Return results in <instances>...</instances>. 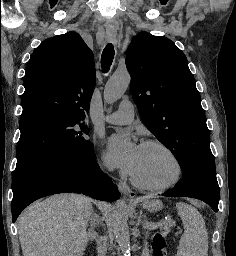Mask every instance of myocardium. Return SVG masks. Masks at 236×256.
<instances>
[{"label": "myocardium", "mask_w": 236, "mask_h": 256, "mask_svg": "<svg viewBox=\"0 0 236 256\" xmlns=\"http://www.w3.org/2000/svg\"><path fill=\"white\" fill-rule=\"evenodd\" d=\"M143 147H158L167 152L170 157L173 159L175 165H176V174L175 176L167 183L158 185V186H148L140 183L131 173H129V181L132 184L133 187H135L138 190L148 192V193H158L162 192L164 190H167L176 184L180 182V180L183 177L184 168L183 164L179 158V156L176 154V152L169 147L167 144L158 141V140H147L142 143Z\"/></svg>", "instance_id": "myocardium-1"}]
</instances>
